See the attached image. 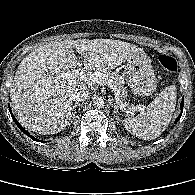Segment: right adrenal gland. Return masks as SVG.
<instances>
[{"instance_id":"obj_1","label":"right adrenal gland","mask_w":195,"mask_h":195,"mask_svg":"<svg viewBox=\"0 0 195 195\" xmlns=\"http://www.w3.org/2000/svg\"><path fill=\"white\" fill-rule=\"evenodd\" d=\"M77 106H80V103H77V102H76V103L73 105V107H72V110H73V117H75Z\"/></svg>"}]
</instances>
